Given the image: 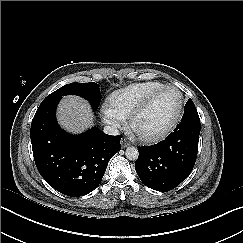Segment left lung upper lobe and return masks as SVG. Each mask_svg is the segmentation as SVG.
<instances>
[{
    "instance_id": "left-lung-upper-lobe-1",
    "label": "left lung upper lobe",
    "mask_w": 243,
    "mask_h": 243,
    "mask_svg": "<svg viewBox=\"0 0 243 243\" xmlns=\"http://www.w3.org/2000/svg\"><path fill=\"white\" fill-rule=\"evenodd\" d=\"M197 113L196 107L191 99L188 100L185 106L184 114Z\"/></svg>"
}]
</instances>
